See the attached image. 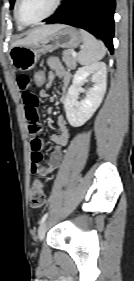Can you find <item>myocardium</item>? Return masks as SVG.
<instances>
[{
  "label": "myocardium",
  "mask_w": 134,
  "mask_h": 281,
  "mask_svg": "<svg viewBox=\"0 0 134 281\" xmlns=\"http://www.w3.org/2000/svg\"><path fill=\"white\" fill-rule=\"evenodd\" d=\"M20 1L21 0H16V2H15V7H14L15 19H16L17 23H19L21 26L30 27V26H36V25L44 22L45 20L49 19L50 17H52L58 11V9L60 8L63 0H55L54 6L44 17L40 18L37 21L30 22V23L24 22L20 17V14H19Z\"/></svg>",
  "instance_id": "myocardium-1"
}]
</instances>
